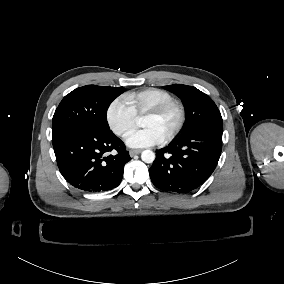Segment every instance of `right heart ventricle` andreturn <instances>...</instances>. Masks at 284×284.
Returning <instances> with one entry per match:
<instances>
[{
    "label": "right heart ventricle",
    "mask_w": 284,
    "mask_h": 284,
    "mask_svg": "<svg viewBox=\"0 0 284 284\" xmlns=\"http://www.w3.org/2000/svg\"><path fill=\"white\" fill-rule=\"evenodd\" d=\"M124 98L136 114L145 113L167 101L174 100L168 91L157 87L143 88L127 94Z\"/></svg>",
    "instance_id": "1"
}]
</instances>
